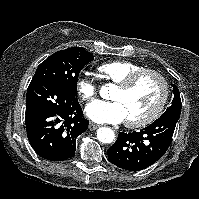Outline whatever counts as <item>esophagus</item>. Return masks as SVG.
Wrapping results in <instances>:
<instances>
[{
	"instance_id": "esophagus-1",
	"label": "esophagus",
	"mask_w": 199,
	"mask_h": 199,
	"mask_svg": "<svg viewBox=\"0 0 199 199\" xmlns=\"http://www.w3.org/2000/svg\"><path fill=\"white\" fill-rule=\"evenodd\" d=\"M98 127H99V125H96V124H94V123H90V124H89V129H90L91 131L96 130Z\"/></svg>"
}]
</instances>
